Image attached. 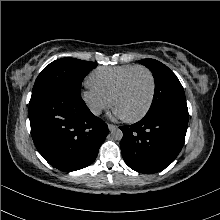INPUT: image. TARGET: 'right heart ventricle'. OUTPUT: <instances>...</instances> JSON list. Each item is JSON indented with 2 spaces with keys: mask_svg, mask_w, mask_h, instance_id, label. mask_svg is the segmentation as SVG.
<instances>
[{
  "mask_svg": "<svg viewBox=\"0 0 220 220\" xmlns=\"http://www.w3.org/2000/svg\"><path fill=\"white\" fill-rule=\"evenodd\" d=\"M135 67V65L99 67L89 74L88 85L111 98L123 77Z\"/></svg>",
  "mask_w": 220,
  "mask_h": 220,
  "instance_id": "right-heart-ventricle-1",
  "label": "right heart ventricle"
}]
</instances>
